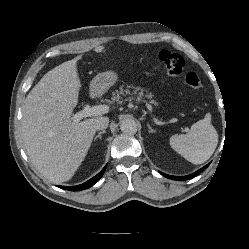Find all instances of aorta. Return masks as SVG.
Instances as JSON below:
<instances>
[{
	"label": "aorta",
	"mask_w": 249,
	"mask_h": 249,
	"mask_svg": "<svg viewBox=\"0 0 249 249\" xmlns=\"http://www.w3.org/2000/svg\"><path fill=\"white\" fill-rule=\"evenodd\" d=\"M120 129L124 134L133 135L137 132V123L133 119H125L121 122Z\"/></svg>",
	"instance_id": "obj_1"
}]
</instances>
